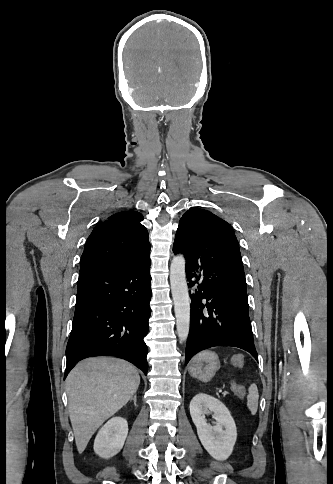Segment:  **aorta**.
<instances>
[{
	"label": "aorta",
	"instance_id": "aorta-1",
	"mask_svg": "<svg viewBox=\"0 0 333 484\" xmlns=\"http://www.w3.org/2000/svg\"><path fill=\"white\" fill-rule=\"evenodd\" d=\"M170 284L176 328L180 342H186L190 330V302L185 274V258L179 254L175 256L170 266Z\"/></svg>",
	"mask_w": 333,
	"mask_h": 484
}]
</instances>
